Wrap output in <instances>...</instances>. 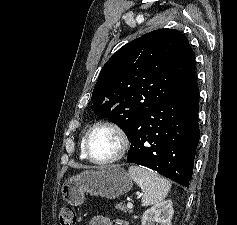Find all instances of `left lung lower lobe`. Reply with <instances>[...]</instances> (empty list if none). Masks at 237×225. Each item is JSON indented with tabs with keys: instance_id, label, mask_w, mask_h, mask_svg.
I'll return each instance as SVG.
<instances>
[{
	"instance_id": "obj_1",
	"label": "left lung lower lobe",
	"mask_w": 237,
	"mask_h": 225,
	"mask_svg": "<svg viewBox=\"0 0 237 225\" xmlns=\"http://www.w3.org/2000/svg\"><path fill=\"white\" fill-rule=\"evenodd\" d=\"M197 86L156 104L128 130V163L151 168L188 187L200 130Z\"/></svg>"
}]
</instances>
